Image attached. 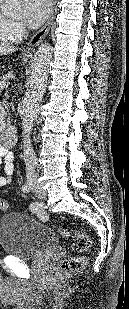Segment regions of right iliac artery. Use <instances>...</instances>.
Segmentation results:
<instances>
[{
    "mask_svg": "<svg viewBox=\"0 0 129 309\" xmlns=\"http://www.w3.org/2000/svg\"><path fill=\"white\" fill-rule=\"evenodd\" d=\"M27 181L26 183L22 186V190L24 192H29L31 185H32V181L34 178V167L30 166L27 168Z\"/></svg>",
    "mask_w": 129,
    "mask_h": 309,
    "instance_id": "82829eb1",
    "label": "right iliac artery"
}]
</instances>
